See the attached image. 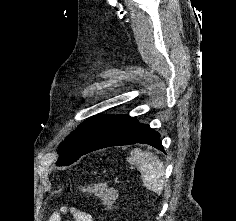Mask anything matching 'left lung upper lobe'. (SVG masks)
<instances>
[{"mask_svg": "<svg viewBox=\"0 0 236 221\" xmlns=\"http://www.w3.org/2000/svg\"><path fill=\"white\" fill-rule=\"evenodd\" d=\"M108 115L92 117L73 131L59 146L58 166H67L77 160L79 153L90 142L101 124L105 121Z\"/></svg>", "mask_w": 236, "mask_h": 221, "instance_id": "1", "label": "left lung upper lobe"}]
</instances>
